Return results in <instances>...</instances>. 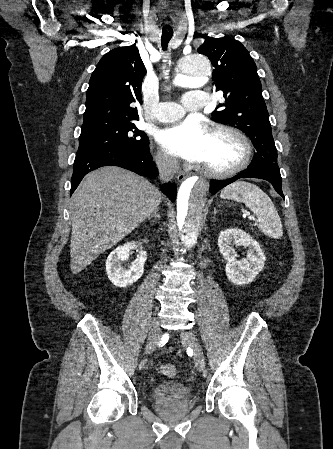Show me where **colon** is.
<instances>
[{
  "instance_id": "5ec220e1",
  "label": "colon",
  "mask_w": 333,
  "mask_h": 449,
  "mask_svg": "<svg viewBox=\"0 0 333 449\" xmlns=\"http://www.w3.org/2000/svg\"><path fill=\"white\" fill-rule=\"evenodd\" d=\"M161 373L166 377H174L177 374V369L172 364H163L160 367Z\"/></svg>"
}]
</instances>
